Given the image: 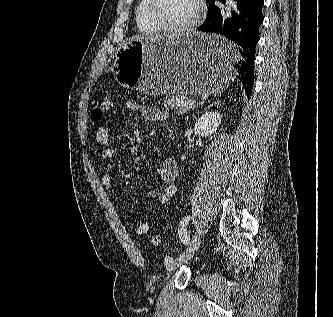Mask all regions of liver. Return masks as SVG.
<instances>
[{"label": "liver", "instance_id": "liver-1", "mask_svg": "<svg viewBox=\"0 0 333 317\" xmlns=\"http://www.w3.org/2000/svg\"><path fill=\"white\" fill-rule=\"evenodd\" d=\"M162 37H170V36L169 35H167V36H156V37L137 36V37L131 38V40H147V39L162 38Z\"/></svg>", "mask_w": 333, "mask_h": 317}]
</instances>
